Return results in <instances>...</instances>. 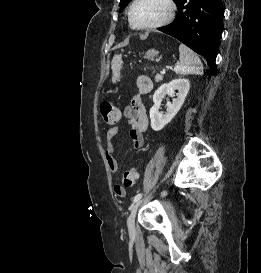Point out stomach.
Masks as SVG:
<instances>
[{
	"mask_svg": "<svg viewBox=\"0 0 261 273\" xmlns=\"http://www.w3.org/2000/svg\"><path fill=\"white\" fill-rule=\"evenodd\" d=\"M158 55V52L154 49L148 50L145 53V58L153 60ZM112 82L115 83L116 81L120 80V70L122 68V58L120 55H115L112 63Z\"/></svg>",
	"mask_w": 261,
	"mask_h": 273,
	"instance_id": "obj_1",
	"label": "stomach"
}]
</instances>
